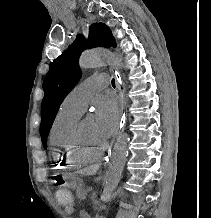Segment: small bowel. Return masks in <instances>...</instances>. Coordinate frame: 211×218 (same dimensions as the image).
Wrapping results in <instances>:
<instances>
[{"instance_id":"1","label":"small bowel","mask_w":211,"mask_h":218,"mask_svg":"<svg viewBox=\"0 0 211 218\" xmlns=\"http://www.w3.org/2000/svg\"><path fill=\"white\" fill-rule=\"evenodd\" d=\"M66 210H67V212H71L73 210V207L72 206H68Z\"/></svg>"}]
</instances>
